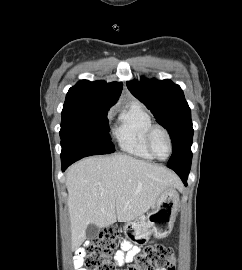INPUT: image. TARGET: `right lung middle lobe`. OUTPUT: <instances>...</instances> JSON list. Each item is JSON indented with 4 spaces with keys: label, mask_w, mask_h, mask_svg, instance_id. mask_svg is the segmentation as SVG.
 Segmentation results:
<instances>
[{
    "label": "right lung middle lobe",
    "mask_w": 242,
    "mask_h": 270,
    "mask_svg": "<svg viewBox=\"0 0 242 270\" xmlns=\"http://www.w3.org/2000/svg\"><path fill=\"white\" fill-rule=\"evenodd\" d=\"M109 108L81 111L63 110L61 122V160L77 161L90 155L115 151L108 134Z\"/></svg>",
    "instance_id": "obj_1"
}]
</instances>
